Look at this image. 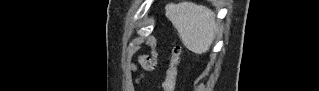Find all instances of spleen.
<instances>
[{"mask_svg": "<svg viewBox=\"0 0 319 91\" xmlns=\"http://www.w3.org/2000/svg\"><path fill=\"white\" fill-rule=\"evenodd\" d=\"M165 15L179 33L183 44L195 54L206 53L212 45L218 26L213 12L193 2L169 3Z\"/></svg>", "mask_w": 319, "mask_h": 91, "instance_id": "spleen-1", "label": "spleen"}]
</instances>
